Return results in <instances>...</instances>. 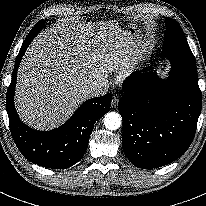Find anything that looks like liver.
<instances>
[{"label": "liver", "mask_w": 206, "mask_h": 206, "mask_svg": "<svg viewBox=\"0 0 206 206\" xmlns=\"http://www.w3.org/2000/svg\"><path fill=\"white\" fill-rule=\"evenodd\" d=\"M139 55L134 36L113 23L63 22L40 33L18 69L17 112L26 124L52 129L87 98L93 85L107 81Z\"/></svg>", "instance_id": "obj_1"}]
</instances>
